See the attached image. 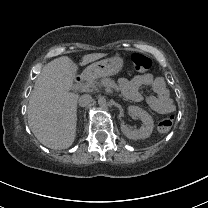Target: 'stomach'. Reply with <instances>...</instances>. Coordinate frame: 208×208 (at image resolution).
<instances>
[{
  "instance_id": "obj_1",
  "label": "stomach",
  "mask_w": 208,
  "mask_h": 208,
  "mask_svg": "<svg viewBox=\"0 0 208 208\" xmlns=\"http://www.w3.org/2000/svg\"><path fill=\"white\" fill-rule=\"evenodd\" d=\"M124 67L125 59L117 54L89 65L84 71V76L94 79L114 76L123 71Z\"/></svg>"
}]
</instances>
